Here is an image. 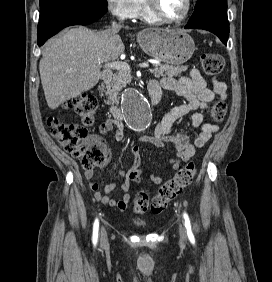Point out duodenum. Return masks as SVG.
<instances>
[{
    "instance_id": "410a0bca",
    "label": "duodenum",
    "mask_w": 272,
    "mask_h": 282,
    "mask_svg": "<svg viewBox=\"0 0 272 282\" xmlns=\"http://www.w3.org/2000/svg\"><path fill=\"white\" fill-rule=\"evenodd\" d=\"M112 76H113L112 69L104 70L102 73L101 79L103 82H108L111 80ZM147 91L150 96L151 105L156 106L157 104H159V102L161 101V96H162V88L159 82L155 79L149 80L147 83ZM108 112H109V115L116 120H119L122 118L121 108L119 107L118 104L114 102L110 104Z\"/></svg>"
}]
</instances>
